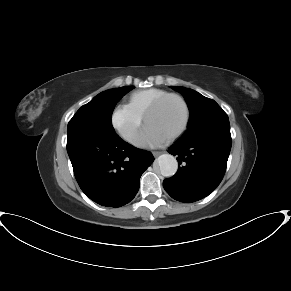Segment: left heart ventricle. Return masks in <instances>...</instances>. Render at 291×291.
<instances>
[{"instance_id":"1","label":"left heart ventricle","mask_w":291,"mask_h":291,"mask_svg":"<svg viewBox=\"0 0 291 291\" xmlns=\"http://www.w3.org/2000/svg\"><path fill=\"white\" fill-rule=\"evenodd\" d=\"M184 120V109L179 100L168 99L147 120L146 125L151 126L166 138L176 131Z\"/></svg>"}]
</instances>
